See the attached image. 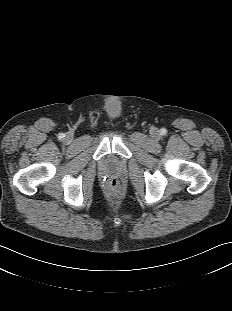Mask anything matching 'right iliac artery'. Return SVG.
Masks as SVG:
<instances>
[{
	"label": "right iliac artery",
	"instance_id": "82829eb1",
	"mask_svg": "<svg viewBox=\"0 0 232 311\" xmlns=\"http://www.w3.org/2000/svg\"><path fill=\"white\" fill-rule=\"evenodd\" d=\"M64 137V134H60L59 138L62 139Z\"/></svg>",
	"mask_w": 232,
	"mask_h": 311
}]
</instances>
